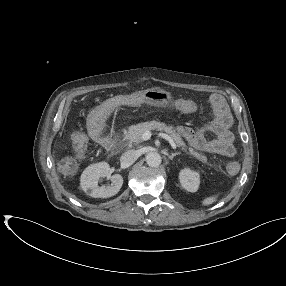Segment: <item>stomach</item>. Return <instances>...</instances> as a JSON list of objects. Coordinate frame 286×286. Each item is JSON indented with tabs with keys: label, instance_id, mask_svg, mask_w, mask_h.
Returning <instances> with one entry per match:
<instances>
[{
	"label": "stomach",
	"instance_id": "stomach-1",
	"mask_svg": "<svg viewBox=\"0 0 286 286\" xmlns=\"http://www.w3.org/2000/svg\"><path fill=\"white\" fill-rule=\"evenodd\" d=\"M141 99L147 104L156 107H167L172 101V96L169 92L161 88H149L139 92Z\"/></svg>",
	"mask_w": 286,
	"mask_h": 286
}]
</instances>
